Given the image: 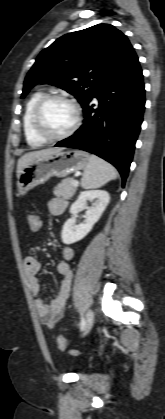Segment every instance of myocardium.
Segmentation results:
<instances>
[{
  "label": "myocardium",
  "mask_w": 165,
  "mask_h": 419,
  "mask_svg": "<svg viewBox=\"0 0 165 419\" xmlns=\"http://www.w3.org/2000/svg\"><path fill=\"white\" fill-rule=\"evenodd\" d=\"M50 101H62L69 104L74 111V121L68 130L59 134L51 135L49 134L43 125L42 122V111L44 106ZM81 123V111L78 104L70 97H67L62 94H47L43 95L35 104L32 111V126L36 134L45 140L46 142L60 141L70 137L79 127Z\"/></svg>",
  "instance_id": "1"
}]
</instances>
